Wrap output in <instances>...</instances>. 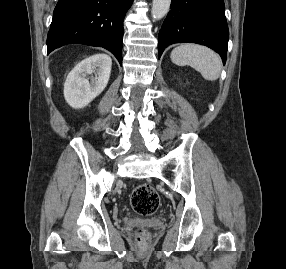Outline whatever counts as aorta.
Masks as SVG:
<instances>
[{
	"label": "aorta",
	"instance_id": "762f6f07",
	"mask_svg": "<svg viewBox=\"0 0 286 269\" xmlns=\"http://www.w3.org/2000/svg\"><path fill=\"white\" fill-rule=\"evenodd\" d=\"M171 0H153L152 18L154 20L162 19L169 11Z\"/></svg>",
	"mask_w": 286,
	"mask_h": 269
}]
</instances>
